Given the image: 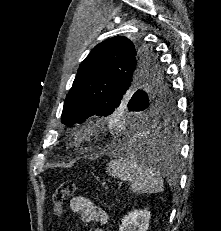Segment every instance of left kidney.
Segmentation results:
<instances>
[{
  "mask_svg": "<svg viewBox=\"0 0 221 231\" xmlns=\"http://www.w3.org/2000/svg\"><path fill=\"white\" fill-rule=\"evenodd\" d=\"M150 218L148 210H134L124 216L119 231H147Z\"/></svg>",
  "mask_w": 221,
  "mask_h": 231,
  "instance_id": "left-kidney-1",
  "label": "left kidney"
}]
</instances>
